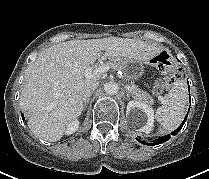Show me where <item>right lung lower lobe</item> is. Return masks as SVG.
<instances>
[{"label":"right lung lower lobe","instance_id":"right-lung-lower-lobe-1","mask_svg":"<svg viewBox=\"0 0 209 179\" xmlns=\"http://www.w3.org/2000/svg\"><path fill=\"white\" fill-rule=\"evenodd\" d=\"M21 115H22V119H24L23 114H21Z\"/></svg>","mask_w":209,"mask_h":179}]
</instances>
